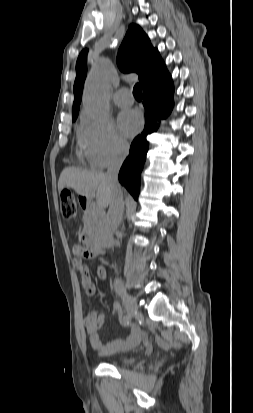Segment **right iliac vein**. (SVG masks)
<instances>
[{"instance_id":"1","label":"right iliac vein","mask_w":253,"mask_h":413,"mask_svg":"<svg viewBox=\"0 0 253 413\" xmlns=\"http://www.w3.org/2000/svg\"><path fill=\"white\" fill-rule=\"evenodd\" d=\"M122 302L129 316L138 315V305L135 298L127 293L121 295Z\"/></svg>"}]
</instances>
